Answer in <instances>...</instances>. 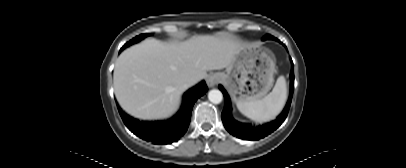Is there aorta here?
<instances>
[{
	"label": "aorta",
	"mask_w": 406,
	"mask_h": 168,
	"mask_svg": "<svg viewBox=\"0 0 406 168\" xmlns=\"http://www.w3.org/2000/svg\"><path fill=\"white\" fill-rule=\"evenodd\" d=\"M208 99L210 102H212L214 104H219V103H221V101L223 99V94L218 89H212L208 93Z\"/></svg>",
	"instance_id": "762f6f07"
}]
</instances>
